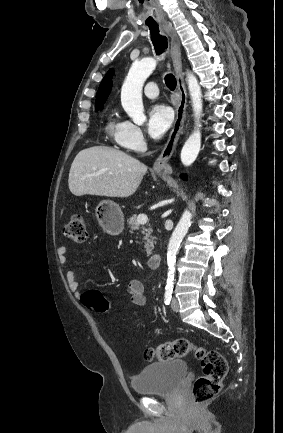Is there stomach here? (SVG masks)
Here are the masks:
<instances>
[{
	"instance_id": "0dacf381",
	"label": "stomach",
	"mask_w": 283,
	"mask_h": 433,
	"mask_svg": "<svg viewBox=\"0 0 283 433\" xmlns=\"http://www.w3.org/2000/svg\"><path fill=\"white\" fill-rule=\"evenodd\" d=\"M164 176L165 172H158ZM96 217L99 223L104 225L105 231L109 235H120L124 229L123 212L117 202L113 200H101L96 206Z\"/></svg>"
}]
</instances>
